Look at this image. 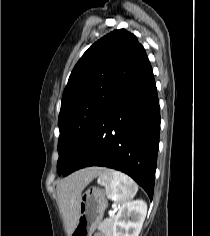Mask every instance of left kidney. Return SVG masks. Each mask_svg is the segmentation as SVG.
I'll list each match as a JSON object with an SVG mask.
<instances>
[{
    "instance_id": "5707ae66",
    "label": "left kidney",
    "mask_w": 210,
    "mask_h": 236,
    "mask_svg": "<svg viewBox=\"0 0 210 236\" xmlns=\"http://www.w3.org/2000/svg\"><path fill=\"white\" fill-rule=\"evenodd\" d=\"M147 213L143 200L123 204L113 224V236H139Z\"/></svg>"
}]
</instances>
